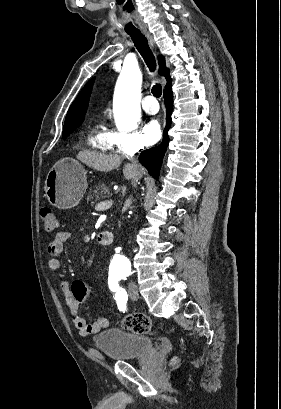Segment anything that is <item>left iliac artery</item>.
Returning <instances> with one entry per match:
<instances>
[{
	"instance_id": "44dca946",
	"label": "left iliac artery",
	"mask_w": 281,
	"mask_h": 409,
	"mask_svg": "<svg viewBox=\"0 0 281 409\" xmlns=\"http://www.w3.org/2000/svg\"><path fill=\"white\" fill-rule=\"evenodd\" d=\"M108 285L110 290L114 293V299L116 300L118 309L120 311H126V303H127V293L124 288L120 287L119 285V278L118 277H110L108 281Z\"/></svg>"
}]
</instances>
